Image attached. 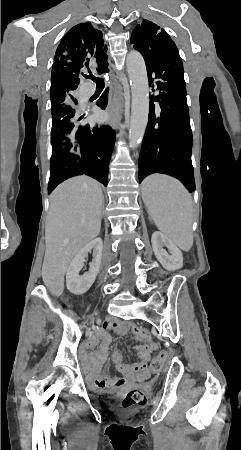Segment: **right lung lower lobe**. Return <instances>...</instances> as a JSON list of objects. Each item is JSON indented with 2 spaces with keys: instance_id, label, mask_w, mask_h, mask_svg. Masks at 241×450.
<instances>
[{
  "instance_id": "98d812e1",
  "label": "right lung lower lobe",
  "mask_w": 241,
  "mask_h": 450,
  "mask_svg": "<svg viewBox=\"0 0 241 450\" xmlns=\"http://www.w3.org/2000/svg\"><path fill=\"white\" fill-rule=\"evenodd\" d=\"M107 67L99 74L107 73ZM107 102L108 89L97 101V105L105 109ZM74 121L73 118L65 117L55 124L59 132L73 135L74 144L52 147L48 193L64 180L82 174L107 185L115 132L108 126H76Z\"/></svg>"
}]
</instances>
